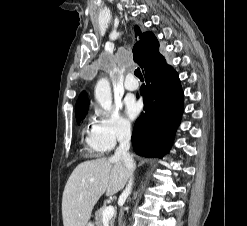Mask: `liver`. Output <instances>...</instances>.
Listing matches in <instances>:
<instances>
[{
    "instance_id": "liver-1",
    "label": "liver",
    "mask_w": 247,
    "mask_h": 226,
    "mask_svg": "<svg viewBox=\"0 0 247 226\" xmlns=\"http://www.w3.org/2000/svg\"><path fill=\"white\" fill-rule=\"evenodd\" d=\"M133 170L122 161L98 158L80 163L71 173L63 192L64 226H86L100 197L121 191Z\"/></svg>"
}]
</instances>
